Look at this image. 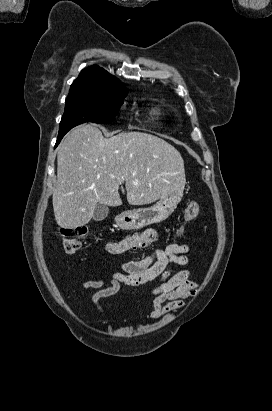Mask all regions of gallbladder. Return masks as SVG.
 Listing matches in <instances>:
<instances>
[{"mask_svg": "<svg viewBox=\"0 0 272 411\" xmlns=\"http://www.w3.org/2000/svg\"><path fill=\"white\" fill-rule=\"evenodd\" d=\"M109 213V208L107 205L98 203L94 209L93 220L98 222L104 220Z\"/></svg>", "mask_w": 272, "mask_h": 411, "instance_id": "gallbladder-1", "label": "gallbladder"}]
</instances>
